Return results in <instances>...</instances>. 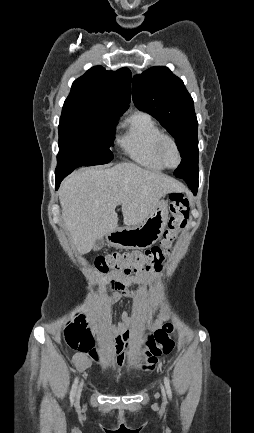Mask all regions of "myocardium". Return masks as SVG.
Listing matches in <instances>:
<instances>
[{"mask_svg":"<svg viewBox=\"0 0 254 433\" xmlns=\"http://www.w3.org/2000/svg\"><path fill=\"white\" fill-rule=\"evenodd\" d=\"M166 141H169L170 143H172V145L174 146V148H175V150H176V152H177V155H178V163H177V165H175V166H168V165L163 161V159H162V156H161V147H162L163 143L166 142ZM154 152H155L156 158L159 160V162L163 165L164 168H167V169H175V168H177V167L181 164V162H182V154H181V151H180L179 145H178L177 141H176L172 136H170V135L162 134V135L157 139V141H156V143H155V147H154Z\"/></svg>","mask_w":254,"mask_h":433,"instance_id":"myocardium-1","label":"myocardium"}]
</instances>
